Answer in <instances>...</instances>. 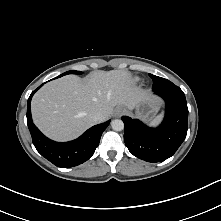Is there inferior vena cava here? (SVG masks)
I'll list each match as a JSON object with an SVG mask.
<instances>
[{
  "mask_svg": "<svg viewBox=\"0 0 221 221\" xmlns=\"http://www.w3.org/2000/svg\"><path fill=\"white\" fill-rule=\"evenodd\" d=\"M93 120L98 123L104 120V116L101 112H96L93 116H92Z\"/></svg>",
  "mask_w": 221,
  "mask_h": 221,
  "instance_id": "602c4592",
  "label": "inferior vena cava"
}]
</instances>
